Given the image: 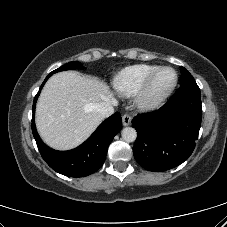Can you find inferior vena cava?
Wrapping results in <instances>:
<instances>
[{
  "instance_id": "obj_1",
  "label": "inferior vena cava",
  "mask_w": 227,
  "mask_h": 227,
  "mask_svg": "<svg viewBox=\"0 0 227 227\" xmlns=\"http://www.w3.org/2000/svg\"><path fill=\"white\" fill-rule=\"evenodd\" d=\"M116 101H103L97 104L96 110L102 117H108L114 113Z\"/></svg>"
}]
</instances>
